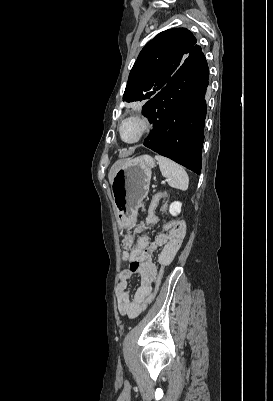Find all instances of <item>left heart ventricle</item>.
<instances>
[{"mask_svg": "<svg viewBox=\"0 0 273 401\" xmlns=\"http://www.w3.org/2000/svg\"><path fill=\"white\" fill-rule=\"evenodd\" d=\"M140 133V126L135 121H127L123 124L121 129L122 138L125 141L135 140Z\"/></svg>", "mask_w": 273, "mask_h": 401, "instance_id": "left-heart-ventricle-1", "label": "left heart ventricle"}]
</instances>
